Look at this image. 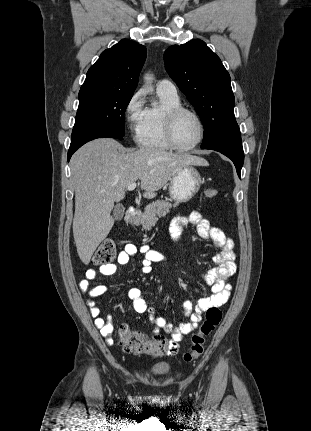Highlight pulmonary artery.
Segmentation results:
<instances>
[{
    "label": "pulmonary artery",
    "instance_id": "obj_1",
    "mask_svg": "<svg viewBox=\"0 0 311 431\" xmlns=\"http://www.w3.org/2000/svg\"><path fill=\"white\" fill-rule=\"evenodd\" d=\"M157 91L168 95H177L176 86L168 79L158 81Z\"/></svg>",
    "mask_w": 311,
    "mask_h": 431
}]
</instances>
